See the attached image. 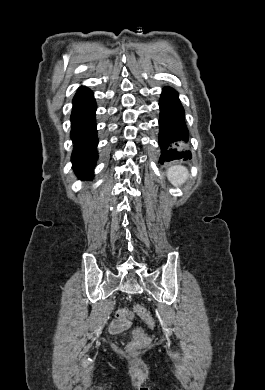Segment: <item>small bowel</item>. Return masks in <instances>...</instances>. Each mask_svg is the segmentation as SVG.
I'll use <instances>...</instances> for the list:
<instances>
[{"instance_id": "c3829d8e", "label": "small bowel", "mask_w": 265, "mask_h": 390, "mask_svg": "<svg viewBox=\"0 0 265 390\" xmlns=\"http://www.w3.org/2000/svg\"><path fill=\"white\" fill-rule=\"evenodd\" d=\"M130 327V322L121 319H114L110 323V330L112 333L118 334L125 332Z\"/></svg>"}]
</instances>
